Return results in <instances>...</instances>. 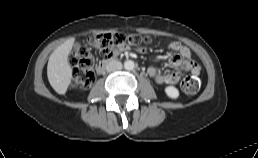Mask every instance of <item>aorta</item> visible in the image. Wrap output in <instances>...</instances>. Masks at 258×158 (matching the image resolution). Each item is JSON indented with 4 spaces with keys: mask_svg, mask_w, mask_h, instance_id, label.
I'll return each instance as SVG.
<instances>
[{
    "mask_svg": "<svg viewBox=\"0 0 258 158\" xmlns=\"http://www.w3.org/2000/svg\"><path fill=\"white\" fill-rule=\"evenodd\" d=\"M134 67H135V64H134V62H133L132 60H127V61H125V63H124V68H125L126 70H133Z\"/></svg>",
    "mask_w": 258,
    "mask_h": 158,
    "instance_id": "obj_1",
    "label": "aorta"
}]
</instances>
